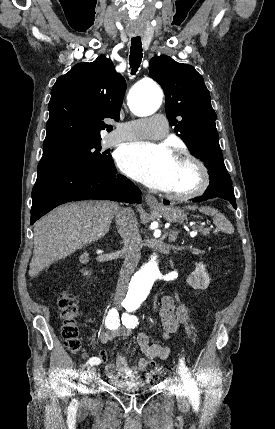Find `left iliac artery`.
<instances>
[{
    "label": "left iliac artery",
    "instance_id": "44dca946",
    "mask_svg": "<svg viewBox=\"0 0 275 429\" xmlns=\"http://www.w3.org/2000/svg\"><path fill=\"white\" fill-rule=\"evenodd\" d=\"M125 308L128 311V313L123 314L122 323L127 328H135L138 325V318L134 315H130L129 313L135 311L136 307L127 306ZM178 369L182 377V380L190 389L189 396L191 398V402L194 406L197 407L199 405L198 390L194 385V381L191 379L188 367L185 365V362L183 359H180Z\"/></svg>",
    "mask_w": 275,
    "mask_h": 429
}]
</instances>
